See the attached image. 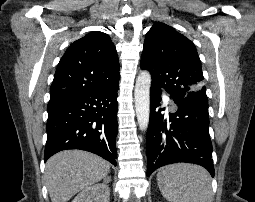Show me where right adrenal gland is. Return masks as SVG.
Here are the masks:
<instances>
[{
  "mask_svg": "<svg viewBox=\"0 0 255 202\" xmlns=\"http://www.w3.org/2000/svg\"><path fill=\"white\" fill-rule=\"evenodd\" d=\"M104 182H105V183H110V182H111V177L105 178V179H104Z\"/></svg>",
  "mask_w": 255,
  "mask_h": 202,
  "instance_id": "2a0ac1e0",
  "label": "right adrenal gland"
}]
</instances>
